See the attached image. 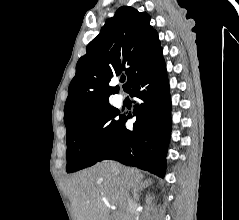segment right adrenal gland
<instances>
[{
	"label": "right adrenal gland",
	"instance_id": "obj_1",
	"mask_svg": "<svg viewBox=\"0 0 239 220\" xmlns=\"http://www.w3.org/2000/svg\"><path fill=\"white\" fill-rule=\"evenodd\" d=\"M151 180H145V181H141L140 183H139V185L135 188V189H133V197H134V199L135 200H139V193H140V191L143 189V188H147L149 185H151Z\"/></svg>",
	"mask_w": 239,
	"mask_h": 220
}]
</instances>
